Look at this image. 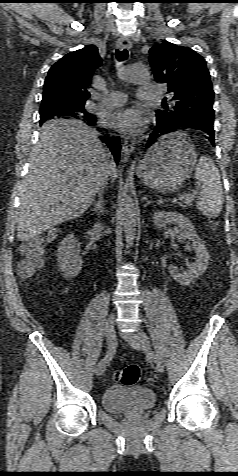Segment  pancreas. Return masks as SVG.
Returning a JSON list of instances; mask_svg holds the SVG:
<instances>
[{
  "instance_id": "cf45deb5",
  "label": "pancreas",
  "mask_w": 238,
  "mask_h": 476,
  "mask_svg": "<svg viewBox=\"0 0 238 476\" xmlns=\"http://www.w3.org/2000/svg\"><path fill=\"white\" fill-rule=\"evenodd\" d=\"M194 201V195H190L187 199L182 200L179 206L182 208L191 207Z\"/></svg>"
}]
</instances>
